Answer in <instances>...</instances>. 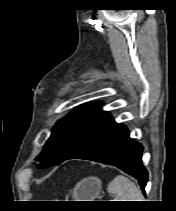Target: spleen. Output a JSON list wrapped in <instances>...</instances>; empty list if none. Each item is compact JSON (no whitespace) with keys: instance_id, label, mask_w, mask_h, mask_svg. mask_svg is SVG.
<instances>
[{"instance_id":"obj_1","label":"spleen","mask_w":176,"mask_h":211,"mask_svg":"<svg viewBox=\"0 0 176 211\" xmlns=\"http://www.w3.org/2000/svg\"><path fill=\"white\" fill-rule=\"evenodd\" d=\"M107 191L111 195H116L114 201H144L140 188L123 175H117L109 182Z\"/></svg>"}]
</instances>
